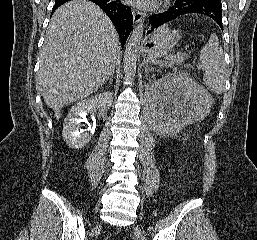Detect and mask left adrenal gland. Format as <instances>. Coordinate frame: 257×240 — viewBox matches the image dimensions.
Returning a JSON list of instances; mask_svg holds the SVG:
<instances>
[{"label": "left adrenal gland", "instance_id": "a2214340", "mask_svg": "<svg viewBox=\"0 0 257 240\" xmlns=\"http://www.w3.org/2000/svg\"><path fill=\"white\" fill-rule=\"evenodd\" d=\"M144 67H145V73L146 75H148L149 71H151L152 68H150L147 64Z\"/></svg>", "mask_w": 257, "mask_h": 240}]
</instances>
